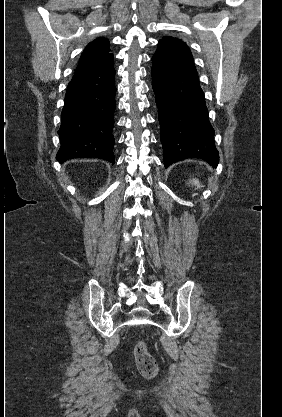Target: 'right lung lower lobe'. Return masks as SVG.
Returning <instances> with one entry per match:
<instances>
[{
  "mask_svg": "<svg viewBox=\"0 0 282 417\" xmlns=\"http://www.w3.org/2000/svg\"><path fill=\"white\" fill-rule=\"evenodd\" d=\"M113 60L75 73L68 84L58 131L56 159L96 157L115 163L113 114L116 107Z\"/></svg>",
  "mask_w": 282,
  "mask_h": 417,
  "instance_id": "obj_1",
  "label": "right lung lower lobe"
}]
</instances>
